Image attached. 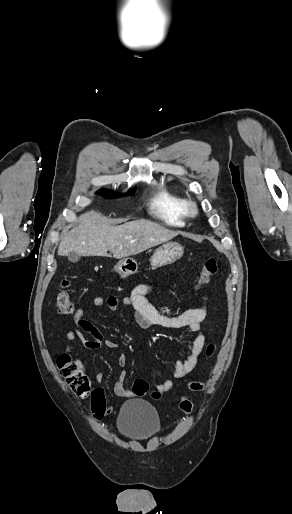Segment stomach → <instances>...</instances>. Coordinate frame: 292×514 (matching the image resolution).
Segmentation results:
<instances>
[{
	"instance_id": "stomach-1",
	"label": "stomach",
	"mask_w": 292,
	"mask_h": 514,
	"mask_svg": "<svg viewBox=\"0 0 292 514\" xmlns=\"http://www.w3.org/2000/svg\"><path fill=\"white\" fill-rule=\"evenodd\" d=\"M183 256V248L177 242H169V244H163L160 248L155 250L150 264L153 270L161 268V266H167V264H173L179 258ZM115 272L119 274L120 278H127L131 274H136L138 270L137 262L134 258H122L114 266Z\"/></svg>"
}]
</instances>
